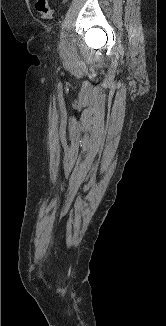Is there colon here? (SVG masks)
I'll return each mask as SVG.
<instances>
[{"instance_id": "colon-1", "label": "colon", "mask_w": 166, "mask_h": 326, "mask_svg": "<svg viewBox=\"0 0 166 326\" xmlns=\"http://www.w3.org/2000/svg\"><path fill=\"white\" fill-rule=\"evenodd\" d=\"M35 8L42 19L48 20L52 17V10L48 0H36Z\"/></svg>"}]
</instances>
